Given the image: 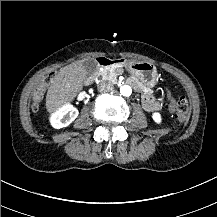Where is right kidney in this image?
I'll return each instance as SVG.
<instances>
[{
    "instance_id": "ca27d5eb",
    "label": "right kidney",
    "mask_w": 217,
    "mask_h": 217,
    "mask_svg": "<svg viewBox=\"0 0 217 217\" xmlns=\"http://www.w3.org/2000/svg\"><path fill=\"white\" fill-rule=\"evenodd\" d=\"M78 115L76 108L64 106L58 113L52 117V124L56 128L66 127L71 124Z\"/></svg>"
}]
</instances>
